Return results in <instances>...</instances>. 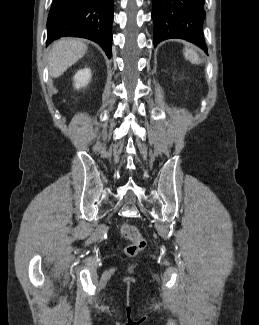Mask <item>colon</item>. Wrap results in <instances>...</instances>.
I'll list each match as a JSON object with an SVG mask.
<instances>
[{"label":"colon","mask_w":259,"mask_h":325,"mask_svg":"<svg viewBox=\"0 0 259 325\" xmlns=\"http://www.w3.org/2000/svg\"><path fill=\"white\" fill-rule=\"evenodd\" d=\"M122 236L129 242L125 247V253L130 256H136L146 246V240L140 231L131 224L125 223L121 227Z\"/></svg>","instance_id":"obj_1"}]
</instances>
